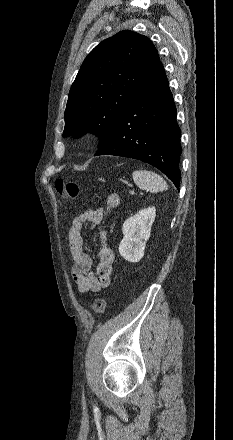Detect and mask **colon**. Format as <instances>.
<instances>
[{
    "mask_svg": "<svg viewBox=\"0 0 233 440\" xmlns=\"http://www.w3.org/2000/svg\"><path fill=\"white\" fill-rule=\"evenodd\" d=\"M57 193L61 196L68 198H76L80 193L79 185L73 181H67L64 178H57L54 183ZM107 305L106 297H98L93 305L92 311L100 315L105 311Z\"/></svg>",
    "mask_w": 233,
    "mask_h": 440,
    "instance_id": "colon-1",
    "label": "colon"
}]
</instances>
